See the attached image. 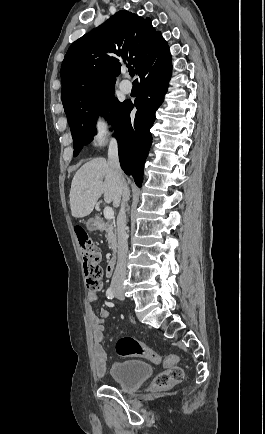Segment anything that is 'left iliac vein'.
<instances>
[{
  "label": "left iliac vein",
  "instance_id": "1",
  "mask_svg": "<svg viewBox=\"0 0 265 434\" xmlns=\"http://www.w3.org/2000/svg\"><path fill=\"white\" fill-rule=\"evenodd\" d=\"M116 298L119 300H123L124 299V292L121 288H117L116 292H115Z\"/></svg>",
  "mask_w": 265,
  "mask_h": 434
}]
</instances>
